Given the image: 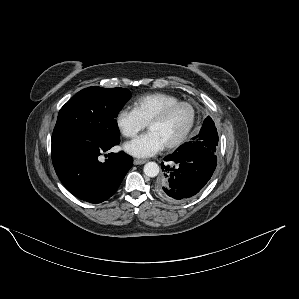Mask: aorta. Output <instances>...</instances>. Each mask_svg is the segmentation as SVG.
Wrapping results in <instances>:
<instances>
[{
  "label": "aorta",
  "instance_id": "aorta-1",
  "mask_svg": "<svg viewBox=\"0 0 299 299\" xmlns=\"http://www.w3.org/2000/svg\"><path fill=\"white\" fill-rule=\"evenodd\" d=\"M143 171L148 177H156L159 174V166L155 162H148L144 165Z\"/></svg>",
  "mask_w": 299,
  "mask_h": 299
}]
</instances>
